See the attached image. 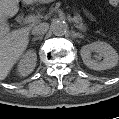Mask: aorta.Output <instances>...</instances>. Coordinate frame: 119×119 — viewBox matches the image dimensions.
Segmentation results:
<instances>
[{"label": "aorta", "instance_id": "1", "mask_svg": "<svg viewBox=\"0 0 119 119\" xmlns=\"http://www.w3.org/2000/svg\"><path fill=\"white\" fill-rule=\"evenodd\" d=\"M51 30L55 36H63L68 32V25L64 21L56 20L52 22Z\"/></svg>", "mask_w": 119, "mask_h": 119}]
</instances>
